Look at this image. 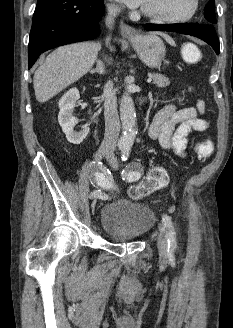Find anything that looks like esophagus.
<instances>
[{
  "instance_id": "esophagus-1",
  "label": "esophagus",
  "mask_w": 233,
  "mask_h": 328,
  "mask_svg": "<svg viewBox=\"0 0 233 328\" xmlns=\"http://www.w3.org/2000/svg\"><path fill=\"white\" fill-rule=\"evenodd\" d=\"M120 30L121 35L126 39L132 40L138 37L137 30L123 21L120 22Z\"/></svg>"
}]
</instances>
